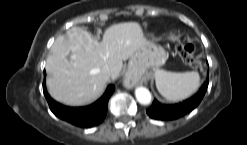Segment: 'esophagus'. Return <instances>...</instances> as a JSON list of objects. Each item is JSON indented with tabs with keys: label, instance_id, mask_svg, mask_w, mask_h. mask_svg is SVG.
Returning <instances> with one entry per match:
<instances>
[{
	"label": "esophagus",
	"instance_id": "1",
	"mask_svg": "<svg viewBox=\"0 0 247 145\" xmlns=\"http://www.w3.org/2000/svg\"><path fill=\"white\" fill-rule=\"evenodd\" d=\"M123 83H124V86L127 88H132L135 85V81L130 75L125 76Z\"/></svg>",
	"mask_w": 247,
	"mask_h": 145
}]
</instances>
